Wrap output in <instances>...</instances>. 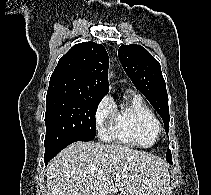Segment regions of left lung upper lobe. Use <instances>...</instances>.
<instances>
[{"mask_svg": "<svg viewBox=\"0 0 211 195\" xmlns=\"http://www.w3.org/2000/svg\"><path fill=\"white\" fill-rule=\"evenodd\" d=\"M119 60L135 87L143 93L163 119L165 131H169V106L166 84L162 76L160 63L142 46L121 45ZM166 160L172 162L168 149Z\"/></svg>", "mask_w": 211, "mask_h": 195, "instance_id": "obj_1", "label": "left lung upper lobe"}]
</instances>
